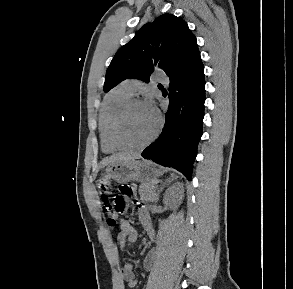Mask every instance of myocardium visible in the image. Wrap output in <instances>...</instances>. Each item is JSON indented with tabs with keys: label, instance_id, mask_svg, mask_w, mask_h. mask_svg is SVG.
Here are the masks:
<instances>
[{
	"label": "myocardium",
	"instance_id": "1",
	"mask_svg": "<svg viewBox=\"0 0 293 289\" xmlns=\"http://www.w3.org/2000/svg\"><path fill=\"white\" fill-rule=\"evenodd\" d=\"M137 104H145V102L139 98H130L126 103L123 104L114 117L110 132V140L118 150L136 151L144 149L155 141L162 129V118L158 113H155L157 118V125L150 138L141 144L132 145L126 143L121 137V125L128 111Z\"/></svg>",
	"mask_w": 293,
	"mask_h": 289
}]
</instances>
